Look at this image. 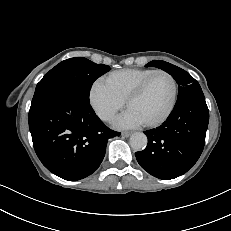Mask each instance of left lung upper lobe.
<instances>
[{"mask_svg": "<svg viewBox=\"0 0 231 231\" xmlns=\"http://www.w3.org/2000/svg\"><path fill=\"white\" fill-rule=\"evenodd\" d=\"M148 66H154L157 68H160L167 73H169L178 83V96L182 94L185 91V87L192 85V84H198V82L186 71L183 69L172 65L168 62L161 61V60H154L149 62L147 65Z\"/></svg>", "mask_w": 231, "mask_h": 231, "instance_id": "5c2ea615", "label": "left lung upper lobe"}]
</instances>
